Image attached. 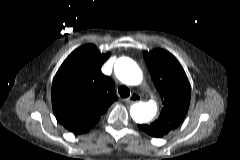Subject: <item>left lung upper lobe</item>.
I'll return each mask as SVG.
<instances>
[{"instance_id":"obj_1","label":"left lung upper lobe","mask_w":240,"mask_h":160,"mask_svg":"<svg viewBox=\"0 0 240 160\" xmlns=\"http://www.w3.org/2000/svg\"><path fill=\"white\" fill-rule=\"evenodd\" d=\"M144 59L163 100L159 118L149 126L166 135L178 127L187 113L190 85L182 66L169 52L162 49L145 51Z\"/></svg>"}]
</instances>
